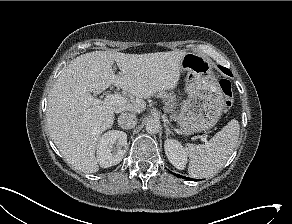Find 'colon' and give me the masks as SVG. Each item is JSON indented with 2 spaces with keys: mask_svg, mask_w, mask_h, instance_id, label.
<instances>
[{
  "mask_svg": "<svg viewBox=\"0 0 292 224\" xmlns=\"http://www.w3.org/2000/svg\"><path fill=\"white\" fill-rule=\"evenodd\" d=\"M219 84H220L221 91H222L224 98H225V103H224L225 108L229 109L233 103L232 84L227 79H221Z\"/></svg>",
  "mask_w": 292,
  "mask_h": 224,
  "instance_id": "obj_1",
  "label": "colon"
}]
</instances>
